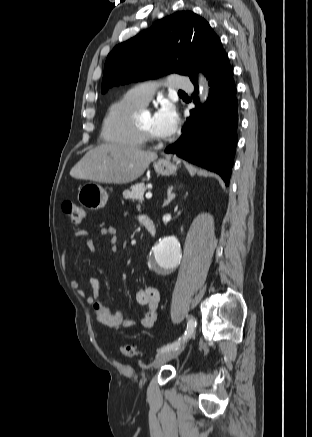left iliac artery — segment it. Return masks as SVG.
Instances as JSON below:
<instances>
[{
    "label": "left iliac artery",
    "instance_id": "obj_1",
    "mask_svg": "<svg viewBox=\"0 0 312 437\" xmlns=\"http://www.w3.org/2000/svg\"><path fill=\"white\" fill-rule=\"evenodd\" d=\"M195 327H196V321L190 318L187 323V330L185 331L184 335L180 337L178 340H176L175 342L163 346L159 351L162 353L169 349L179 346L182 340L191 337Z\"/></svg>",
    "mask_w": 312,
    "mask_h": 437
}]
</instances>
